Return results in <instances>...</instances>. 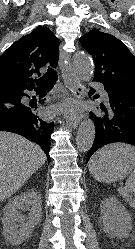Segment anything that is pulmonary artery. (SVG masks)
<instances>
[{
    "mask_svg": "<svg viewBox=\"0 0 135 249\" xmlns=\"http://www.w3.org/2000/svg\"><path fill=\"white\" fill-rule=\"evenodd\" d=\"M94 86L97 87V88H99V89H101V94H102L104 100L107 101V100H108V95H107V93H106L104 90H102L101 85H99V84H94Z\"/></svg>",
    "mask_w": 135,
    "mask_h": 249,
    "instance_id": "pulmonary-artery-1",
    "label": "pulmonary artery"
}]
</instances>
